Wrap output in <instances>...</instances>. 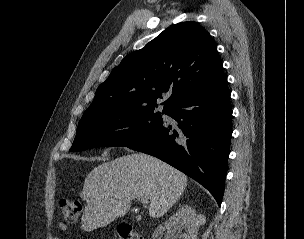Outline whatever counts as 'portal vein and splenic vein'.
<instances>
[{"label":"portal vein and splenic vein","instance_id":"obj_1","mask_svg":"<svg viewBox=\"0 0 304 239\" xmlns=\"http://www.w3.org/2000/svg\"><path fill=\"white\" fill-rule=\"evenodd\" d=\"M141 202H142V204H146V203H148V200L146 198H141Z\"/></svg>","mask_w":304,"mask_h":239}]
</instances>
